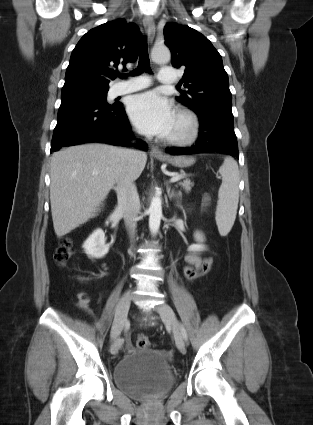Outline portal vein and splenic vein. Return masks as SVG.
<instances>
[{
  "label": "portal vein and splenic vein",
  "instance_id": "18ae733b",
  "mask_svg": "<svg viewBox=\"0 0 313 425\" xmlns=\"http://www.w3.org/2000/svg\"><path fill=\"white\" fill-rule=\"evenodd\" d=\"M93 173H94V174H97V173H98V171H97V170H95ZM183 177H184L183 175H176V176H173V177L170 179V182H171V183L177 182V181H179L180 179H182Z\"/></svg>",
  "mask_w": 313,
  "mask_h": 425
}]
</instances>
